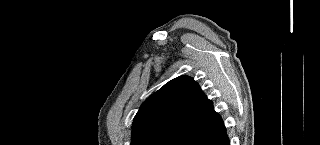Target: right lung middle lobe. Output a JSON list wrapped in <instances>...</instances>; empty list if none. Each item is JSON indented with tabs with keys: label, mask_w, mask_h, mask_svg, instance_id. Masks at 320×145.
I'll return each instance as SVG.
<instances>
[{
	"label": "right lung middle lobe",
	"mask_w": 320,
	"mask_h": 145,
	"mask_svg": "<svg viewBox=\"0 0 320 145\" xmlns=\"http://www.w3.org/2000/svg\"><path fill=\"white\" fill-rule=\"evenodd\" d=\"M175 135V133L156 134L143 140L138 145H167Z\"/></svg>",
	"instance_id": "1"
}]
</instances>
